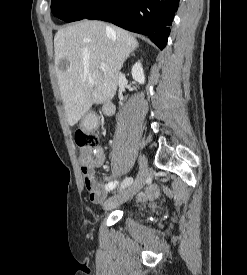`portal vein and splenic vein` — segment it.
I'll return each mask as SVG.
<instances>
[{
	"mask_svg": "<svg viewBox=\"0 0 247 275\" xmlns=\"http://www.w3.org/2000/svg\"><path fill=\"white\" fill-rule=\"evenodd\" d=\"M99 69L102 71V72H106L108 70V67L106 64H100L99 65Z\"/></svg>",
	"mask_w": 247,
	"mask_h": 275,
	"instance_id": "portal-vein-and-splenic-vein-1",
	"label": "portal vein and splenic vein"
}]
</instances>
